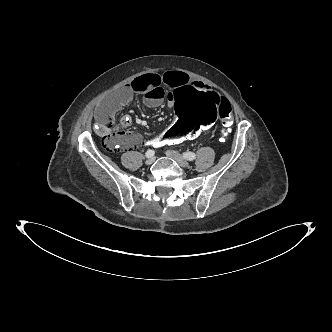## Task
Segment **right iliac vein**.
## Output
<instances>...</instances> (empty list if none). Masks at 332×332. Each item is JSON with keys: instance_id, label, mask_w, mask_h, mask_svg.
<instances>
[{"instance_id": "1", "label": "right iliac vein", "mask_w": 332, "mask_h": 332, "mask_svg": "<svg viewBox=\"0 0 332 332\" xmlns=\"http://www.w3.org/2000/svg\"><path fill=\"white\" fill-rule=\"evenodd\" d=\"M154 161H155V157H149L147 160H146V164L147 165H151V164H153L154 163Z\"/></svg>"}]
</instances>
